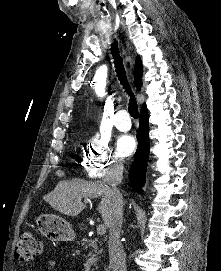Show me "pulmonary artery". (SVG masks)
I'll list each match as a JSON object with an SVG mask.
<instances>
[{
    "label": "pulmonary artery",
    "instance_id": "obj_1",
    "mask_svg": "<svg viewBox=\"0 0 221 271\" xmlns=\"http://www.w3.org/2000/svg\"><path fill=\"white\" fill-rule=\"evenodd\" d=\"M111 116L114 117L113 125L117 126L120 131L125 132L129 130V127L126 126H129V122H131L132 119L128 117V112H112Z\"/></svg>",
    "mask_w": 221,
    "mask_h": 271
}]
</instances>
